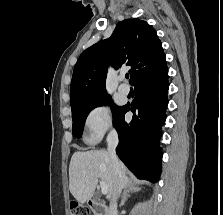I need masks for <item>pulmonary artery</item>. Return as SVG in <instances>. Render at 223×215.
Masks as SVG:
<instances>
[{
  "instance_id": "1",
  "label": "pulmonary artery",
  "mask_w": 223,
  "mask_h": 215,
  "mask_svg": "<svg viewBox=\"0 0 223 215\" xmlns=\"http://www.w3.org/2000/svg\"><path fill=\"white\" fill-rule=\"evenodd\" d=\"M120 81H124V76H120ZM118 90L122 94H128L129 93V86L126 83H121L118 87Z\"/></svg>"
}]
</instances>
